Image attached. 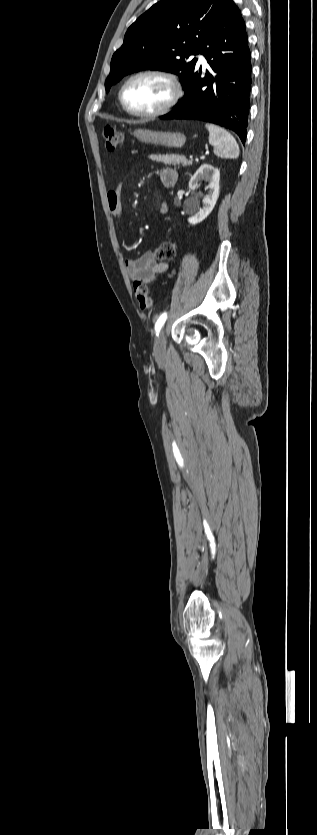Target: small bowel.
Returning <instances> with one entry per match:
<instances>
[{"instance_id": "small-bowel-1", "label": "small bowel", "mask_w": 317, "mask_h": 835, "mask_svg": "<svg viewBox=\"0 0 317 835\" xmlns=\"http://www.w3.org/2000/svg\"><path fill=\"white\" fill-rule=\"evenodd\" d=\"M158 175L161 184L165 187L175 185L178 180L177 171L171 167L162 168ZM121 193V184H118L114 189L108 191L107 193L108 208L111 214L117 218L122 215ZM167 208V203L164 201L160 205L159 210L161 213H165ZM125 267L131 279L134 281H141L145 284H150L156 279L157 275L169 269V264L167 262H158L153 252H145L138 258L127 259L125 261Z\"/></svg>"}]
</instances>
